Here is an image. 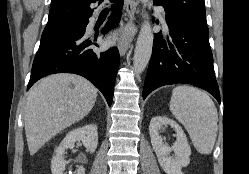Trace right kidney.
<instances>
[{
  "label": "right kidney",
  "instance_id": "obj_1",
  "mask_svg": "<svg viewBox=\"0 0 249 174\" xmlns=\"http://www.w3.org/2000/svg\"><path fill=\"white\" fill-rule=\"evenodd\" d=\"M77 141H82L87 151L91 153L95 152L98 144L96 125H85L66 135L60 145L56 148L55 156L51 160L52 174H64L67 163L63 157L64 152L68 148H73ZM77 174H85V169L82 166L78 167Z\"/></svg>",
  "mask_w": 249,
  "mask_h": 174
}]
</instances>
